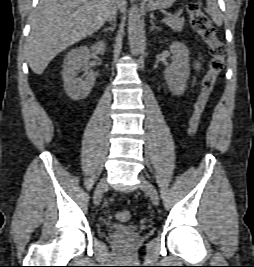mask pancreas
Masks as SVG:
<instances>
[{"mask_svg":"<svg viewBox=\"0 0 254 267\" xmlns=\"http://www.w3.org/2000/svg\"><path fill=\"white\" fill-rule=\"evenodd\" d=\"M185 19L183 17L173 16L171 19L165 22L175 32H181Z\"/></svg>","mask_w":254,"mask_h":267,"instance_id":"obj_1","label":"pancreas"}]
</instances>
